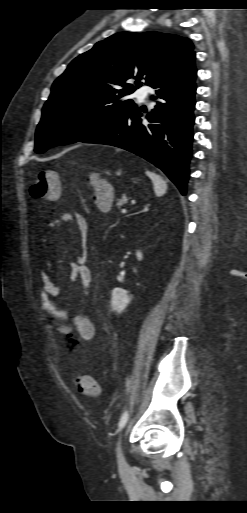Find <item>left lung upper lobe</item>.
Listing matches in <instances>:
<instances>
[{
    "label": "left lung upper lobe",
    "mask_w": 247,
    "mask_h": 513,
    "mask_svg": "<svg viewBox=\"0 0 247 513\" xmlns=\"http://www.w3.org/2000/svg\"><path fill=\"white\" fill-rule=\"evenodd\" d=\"M188 38L121 32L79 55L52 85L37 126L35 152L84 141L111 127L136 105L124 97L173 76L195 57ZM132 80V84L126 81Z\"/></svg>",
    "instance_id": "obj_1"
}]
</instances>
